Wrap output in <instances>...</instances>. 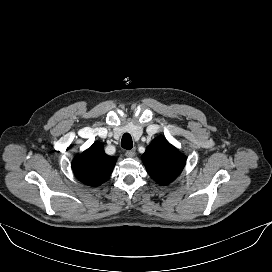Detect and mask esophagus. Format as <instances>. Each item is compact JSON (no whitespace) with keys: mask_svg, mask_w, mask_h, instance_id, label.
Listing matches in <instances>:
<instances>
[{"mask_svg":"<svg viewBox=\"0 0 272 272\" xmlns=\"http://www.w3.org/2000/svg\"><path fill=\"white\" fill-rule=\"evenodd\" d=\"M125 155L129 158H132L135 156V149L127 150Z\"/></svg>","mask_w":272,"mask_h":272,"instance_id":"1","label":"esophagus"}]
</instances>
